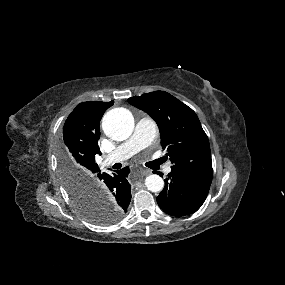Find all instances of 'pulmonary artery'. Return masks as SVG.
Wrapping results in <instances>:
<instances>
[{
  "label": "pulmonary artery",
  "instance_id": "1",
  "mask_svg": "<svg viewBox=\"0 0 285 285\" xmlns=\"http://www.w3.org/2000/svg\"><path fill=\"white\" fill-rule=\"evenodd\" d=\"M157 134V128L151 118L144 117L137 121L131 137L117 146L110 154L103 158V164L109 166L116 162H122L148 147ZM166 173L171 172L170 165L165 168Z\"/></svg>",
  "mask_w": 285,
  "mask_h": 285
}]
</instances>
